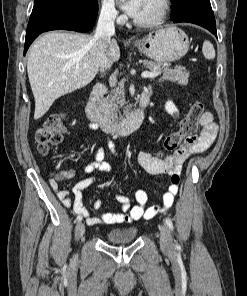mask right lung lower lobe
Returning a JSON list of instances; mask_svg holds the SVG:
<instances>
[{
  "label": "right lung lower lobe",
  "mask_w": 247,
  "mask_h": 296,
  "mask_svg": "<svg viewBox=\"0 0 247 296\" xmlns=\"http://www.w3.org/2000/svg\"><path fill=\"white\" fill-rule=\"evenodd\" d=\"M97 13L98 10L80 11L70 0H62L32 12L26 31L24 55L30 44L42 32L59 29L77 32L91 30Z\"/></svg>",
  "instance_id": "1"
}]
</instances>
